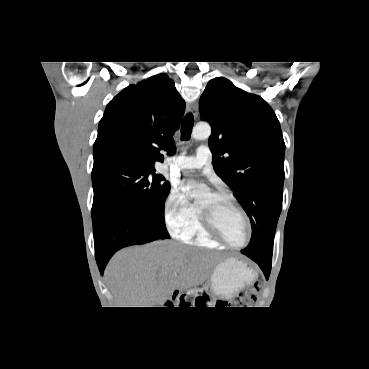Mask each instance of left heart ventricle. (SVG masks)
Here are the masks:
<instances>
[{"label": "left heart ventricle", "mask_w": 369, "mask_h": 369, "mask_svg": "<svg viewBox=\"0 0 369 369\" xmlns=\"http://www.w3.org/2000/svg\"><path fill=\"white\" fill-rule=\"evenodd\" d=\"M199 207L211 214L220 233L233 244H242L247 236L244 218L228 199L216 198L211 193L203 196Z\"/></svg>", "instance_id": "1"}]
</instances>
